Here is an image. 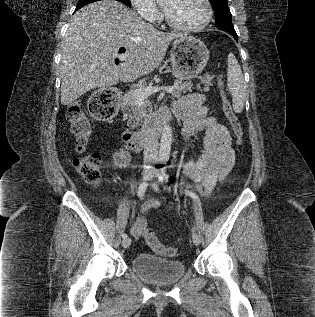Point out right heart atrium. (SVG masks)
Instances as JSON below:
<instances>
[{"mask_svg": "<svg viewBox=\"0 0 315 317\" xmlns=\"http://www.w3.org/2000/svg\"><path fill=\"white\" fill-rule=\"evenodd\" d=\"M133 8L144 19L154 22L160 18V13L152 0H130Z\"/></svg>", "mask_w": 315, "mask_h": 317, "instance_id": "1", "label": "right heart atrium"}]
</instances>
